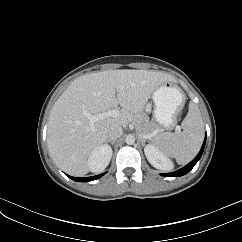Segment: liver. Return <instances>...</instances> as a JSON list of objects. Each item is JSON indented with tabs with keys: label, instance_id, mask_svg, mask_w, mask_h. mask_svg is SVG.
<instances>
[{
	"label": "liver",
	"instance_id": "6515ba94",
	"mask_svg": "<svg viewBox=\"0 0 242 242\" xmlns=\"http://www.w3.org/2000/svg\"><path fill=\"white\" fill-rule=\"evenodd\" d=\"M175 79L147 70H107L74 80L52 107L47 132L50 156L66 173L83 176L91 152L108 140L113 125L126 127L142 115L154 90ZM118 105L119 117L90 124L84 111L96 115Z\"/></svg>",
	"mask_w": 242,
	"mask_h": 242
}]
</instances>
